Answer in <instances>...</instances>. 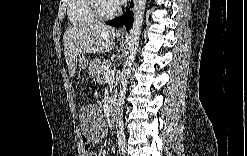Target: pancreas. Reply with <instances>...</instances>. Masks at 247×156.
<instances>
[{"label":"pancreas","mask_w":247,"mask_h":156,"mask_svg":"<svg viewBox=\"0 0 247 156\" xmlns=\"http://www.w3.org/2000/svg\"><path fill=\"white\" fill-rule=\"evenodd\" d=\"M111 70L110 61L104 60L103 62L99 61L93 69L90 70V74L96 78V81L99 84H104L106 82L105 75L108 71Z\"/></svg>","instance_id":"obj_1"}]
</instances>
